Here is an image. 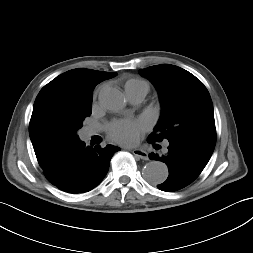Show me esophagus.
<instances>
[{
  "mask_svg": "<svg viewBox=\"0 0 253 253\" xmlns=\"http://www.w3.org/2000/svg\"><path fill=\"white\" fill-rule=\"evenodd\" d=\"M132 153L136 156L139 157L142 160H148V153L140 148H136L132 151Z\"/></svg>",
  "mask_w": 253,
  "mask_h": 253,
  "instance_id": "34e87169",
  "label": "esophagus"
}]
</instances>
